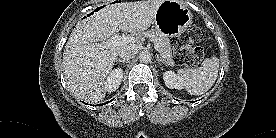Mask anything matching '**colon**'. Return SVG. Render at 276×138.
<instances>
[{
  "label": "colon",
  "instance_id": "obj_1",
  "mask_svg": "<svg viewBox=\"0 0 276 138\" xmlns=\"http://www.w3.org/2000/svg\"><path fill=\"white\" fill-rule=\"evenodd\" d=\"M204 38V31L200 28H192L185 34L173 40L174 56L179 65L193 66L204 58V50L195 46Z\"/></svg>",
  "mask_w": 276,
  "mask_h": 138
}]
</instances>
